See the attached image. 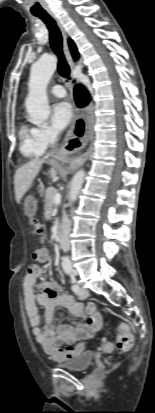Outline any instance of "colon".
Returning <instances> with one entry per match:
<instances>
[{"label":"colon","mask_w":155,"mask_h":413,"mask_svg":"<svg viewBox=\"0 0 155 413\" xmlns=\"http://www.w3.org/2000/svg\"><path fill=\"white\" fill-rule=\"evenodd\" d=\"M23 204L26 207V210L28 211V217L30 221V225L32 228V233L34 235H37L39 237H42L43 235V229L41 224L36 220V212L34 210L33 206H36L38 204V199L36 198V194L34 192H27L25 194V198L23 199ZM34 258L37 259L38 261H44L47 258V251L45 248H39L34 251ZM88 311L91 313H98L97 312V306L94 303H91L88 307ZM118 338H117V343H118V348L122 351H129L131 350L134 342V337L133 334L130 332L129 326L126 323H121L118 326ZM105 350H110V347L108 345H104Z\"/></svg>","instance_id":"obj_1"}]
</instances>
